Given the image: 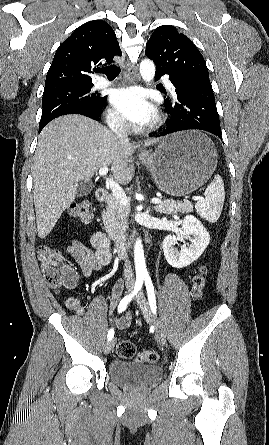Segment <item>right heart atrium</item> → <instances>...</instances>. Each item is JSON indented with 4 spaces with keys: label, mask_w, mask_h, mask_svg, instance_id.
<instances>
[{
    "label": "right heart atrium",
    "mask_w": 269,
    "mask_h": 445,
    "mask_svg": "<svg viewBox=\"0 0 269 445\" xmlns=\"http://www.w3.org/2000/svg\"><path fill=\"white\" fill-rule=\"evenodd\" d=\"M108 125L115 131H124L128 128V123L124 117L115 109L110 108L106 114Z\"/></svg>",
    "instance_id": "d8ad5b80"
}]
</instances>
